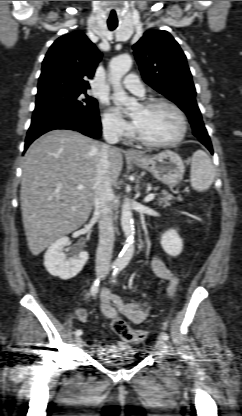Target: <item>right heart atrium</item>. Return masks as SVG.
I'll use <instances>...</instances> for the list:
<instances>
[{
    "label": "right heart atrium",
    "mask_w": 242,
    "mask_h": 416,
    "mask_svg": "<svg viewBox=\"0 0 242 416\" xmlns=\"http://www.w3.org/2000/svg\"><path fill=\"white\" fill-rule=\"evenodd\" d=\"M102 127L105 133L113 137L129 135L127 124L109 111H106L102 116Z\"/></svg>",
    "instance_id": "obj_1"
}]
</instances>
